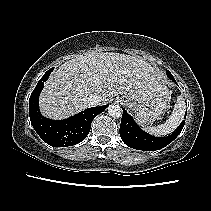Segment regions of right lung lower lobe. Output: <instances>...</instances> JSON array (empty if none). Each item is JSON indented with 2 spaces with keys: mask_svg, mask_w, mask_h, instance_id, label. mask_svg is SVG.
<instances>
[{
  "mask_svg": "<svg viewBox=\"0 0 211 211\" xmlns=\"http://www.w3.org/2000/svg\"><path fill=\"white\" fill-rule=\"evenodd\" d=\"M53 68L48 70L39 80L29 99L30 121L40 136L47 144L55 147H67L83 141L91 128L93 119L103 112L108 105L86 109L64 120H51L40 113L38 98Z\"/></svg>",
  "mask_w": 211,
  "mask_h": 211,
  "instance_id": "obj_1",
  "label": "right lung lower lobe"
}]
</instances>
